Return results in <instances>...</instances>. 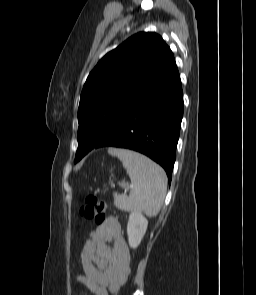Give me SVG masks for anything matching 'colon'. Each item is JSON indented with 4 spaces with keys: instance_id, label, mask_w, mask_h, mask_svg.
Here are the masks:
<instances>
[{
    "instance_id": "colon-1",
    "label": "colon",
    "mask_w": 256,
    "mask_h": 295,
    "mask_svg": "<svg viewBox=\"0 0 256 295\" xmlns=\"http://www.w3.org/2000/svg\"><path fill=\"white\" fill-rule=\"evenodd\" d=\"M107 205L98 200L94 194H88L85 204L80 209V215L86 219H92L97 224H102L106 219Z\"/></svg>"
}]
</instances>
